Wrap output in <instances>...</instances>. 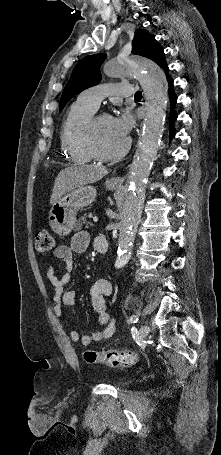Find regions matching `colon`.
I'll use <instances>...</instances> for the list:
<instances>
[{"mask_svg":"<svg viewBox=\"0 0 221 455\" xmlns=\"http://www.w3.org/2000/svg\"><path fill=\"white\" fill-rule=\"evenodd\" d=\"M36 250L41 254H48L54 250V240L47 230H40L36 234ZM84 360L89 364H98L108 367H130L136 364L138 356L132 351H95L84 352Z\"/></svg>","mask_w":221,"mask_h":455,"instance_id":"obj_1","label":"colon"}]
</instances>
